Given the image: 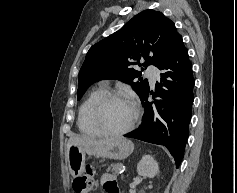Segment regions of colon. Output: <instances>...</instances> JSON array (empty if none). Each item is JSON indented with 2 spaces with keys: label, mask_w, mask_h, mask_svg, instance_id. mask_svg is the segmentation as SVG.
<instances>
[{
  "label": "colon",
  "mask_w": 237,
  "mask_h": 193,
  "mask_svg": "<svg viewBox=\"0 0 237 193\" xmlns=\"http://www.w3.org/2000/svg\"><path fill=\"white\" fill-rule=\"evenodd\" d=\"M93 175V168L86 166L84 173L73 180L72 193H88L93 186Z\"/></svg>",
  "instance_id": "obj_1"
}]
</instances>
